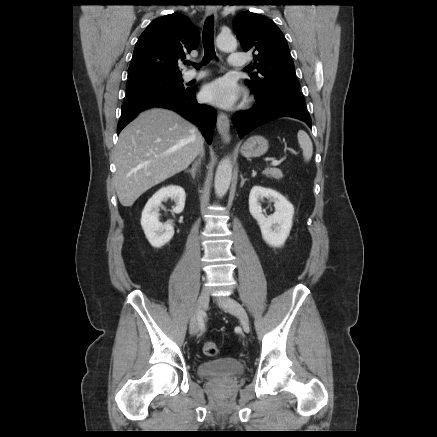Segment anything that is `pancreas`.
<instances>
[{
	"label": "pancreas",
	"instance_id": "1",
	"mask_svg": "<svg viewBox=\"0 0 437 437\" xmlns=\"http://www.w3.org/2000/svg\"><path fill=\"white\" fill-rule=\"evenodd\" d=\"M263 173L267 177L275 178V179H278V180L283 178L282 171L277 169V168L266 169Z\"/></svg>",
	"mask_w": 437,
	"mask_h": 437
}]
</instances>
